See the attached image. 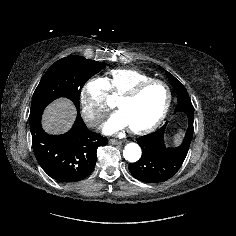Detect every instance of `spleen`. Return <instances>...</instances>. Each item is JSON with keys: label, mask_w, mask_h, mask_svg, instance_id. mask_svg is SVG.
I'll return each mask as SVG.
<instances>
[{"label": "spleen", "mask_w": 236, "mask_h": 236, "mask_svg": "<svg viewBox=\"0 0 236 236\" xmlns=\"http://www.w3.org/2000/svg\"><path fill=\"white\" fill-rule=\"evenodd\" d=\"M182 137H183V131H180L179 133L175 134L174 143L178 144L179 142H181Z\"/></svg>", "instance_id": "3e777b00"}]
</instances>
